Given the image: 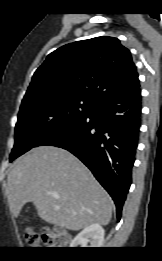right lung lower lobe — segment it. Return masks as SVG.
Segmentation results:
<instances>
[{"instance_id":"98d812e1","label":"right lung lower lobe","mask_w":162,"mask_h":261,"mask_svg":"<svg viewBox=\"0 0 162 261\" xmlns=\"http://www.w3.org/2000/svg\"><path fill=\"white\" fill-rule=\"evenodd\" d=\"M140 118L137 87L97 100L87 115L53 130L34 147L56 146L78 157L111 195L119 221L132 181Z\"/></svg>"}]
</instances>
